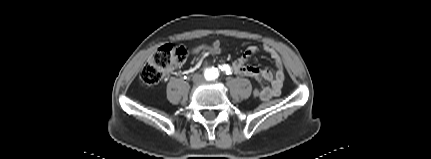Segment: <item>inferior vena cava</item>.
Segmentation results:
<instances>
[{
  "instance_id": "inferior-vena-cava-1",
  "label": "inferior vena cava",
  "mask_w": 431,
  "mask_h": 159,
  "mask_svg": "<svg viewBox=\"0 0 431 159\" xmlns=\"http://www.w3.org/2000/svg\"><path fill=\"white\" fill-rule=\"evenodd\" d=\"M195 79H197V80H202L203 78H202V76H201V75H195Z\"/></svg>"
}]
</instances>
